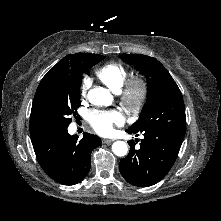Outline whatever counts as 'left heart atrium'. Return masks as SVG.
Masks as SVG:
<instances>
[{
	"instance_id": "39dd6f15",
	"label": "left heart atrium",
	"mask_w": 221,
	"mask_h": 221,
	"mask_svg": "<svg viewBox=\"0 0 221 221\" xmlns=\"http://www.w3.org/2000/svg\"><path fill=\"white\" fill-rule=\"evenodd\" d=\"M91 127L101 135H108L113 131L114 125L123 123V116L117 110H91L87 114Z\"/></svg>"
}]
</instances>
